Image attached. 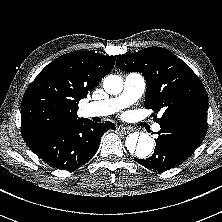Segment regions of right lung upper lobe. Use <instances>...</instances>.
<instances>
[{"label": "right lung upper lobe", "mask_w": 222, "mask_h": 222, "mask_svg": "<svg viewBox=\"0 0 222 222\" xmlns=\"http://www.w3.org/2000/svg\"><path fill=\"white\" fill-rule=\"evenodd\" d=\"M115 57L75 51L47 65L26 90L21 103V132L44 127H67L84 118L78 103L114 67Z\"/></svg>", "instance_id": "obj_1"}]
</instances>
